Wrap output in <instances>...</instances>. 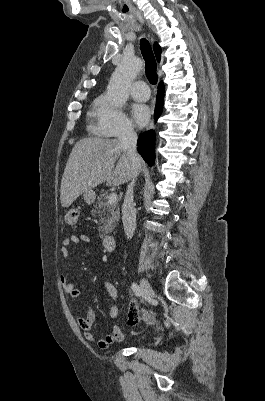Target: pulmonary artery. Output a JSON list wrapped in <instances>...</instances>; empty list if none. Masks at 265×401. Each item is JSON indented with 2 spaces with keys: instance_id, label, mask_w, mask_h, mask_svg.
Masks as SVG:
<instances>
[{
  "instance_id": "e3ab8cb5",
  "label": "pulmonary artery",
  "mask_w": 265,
  "mask_h": 401,
  "mask_svg": "<svg viewBox=\"0 0 265 401\" xmlns=\"http://www.w3.org/2000/svg\"><path fill=\"white\" fill-rule=\"evenodd\" d=\"M138 74L139 73L136 72V78L134 79L136 91H131V97L139 101H147L150 98V93L147 92L149 83L145 81L144 78L138 76Z\"/></svg>"
}]
</instances>
